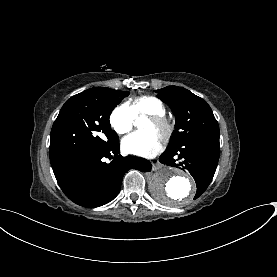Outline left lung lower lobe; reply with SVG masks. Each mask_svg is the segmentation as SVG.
<instances>
[{
  "label": "left lung lower lobe",
  "mask_w": 277,
  "mask_h": 277,
  "mask_svg": "<svg viewBox=\"0 0 277 277\" xmlns=\"http://www.w3.org/2000/svg\"><path fill=\"white\" fill-rule=\"evenodd\" d=\"M219 155V133H212L191 138L175 149H166L159 161L168 166L181 165V169H187L196 182L197 198L212 181ZM179 160L181 162L178 163Z\"/></svg>",
  "instance_id": "obj_1"
}]
</instances>
